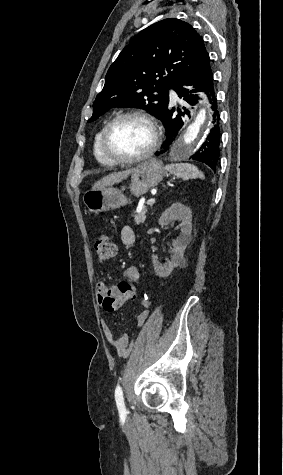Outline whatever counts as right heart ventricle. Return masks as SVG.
<instances>
[{
	"instance_id": "obj_1",
	"label": "right heart ventricle",
	"mask_w": 283,
	"mask_h": 475,
	"mask_svg": "<svg viewBox=\"0 0 283 475\" xmlns=\"http://www.w3.org/2000/svg\"><path fill=\"white\" fill-rule=\"evenodd\" d=\"M107 123H104L95 133L94 138H93V144H92V151L95 159L97 162H108L106 158L102 155L101 149H100V138L102 135V132L105 128Z\"/></svg>"
}]
</instances>
